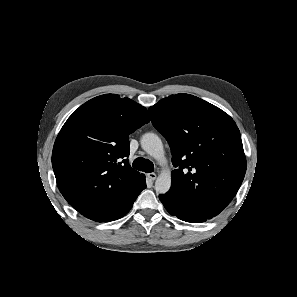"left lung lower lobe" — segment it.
<instances>
[{"mask_svg":"<svg viewBox=\"0 0 297 297\" xmlns=\"http://www.w3.org/2000/svg\"><path fill=\"white\" fill-rule=\"evenodd\" d=\"M159 199L171 215L177 216L183 221L201 223L207 220V218H204L194 211L181 205L178 200L168 192L166 194L159 195Z\"/></svg>","mask_w":297,"mask_h":297,"instance_id":"0a47b994","label":"left lung lower lobe"}]
</instances>
